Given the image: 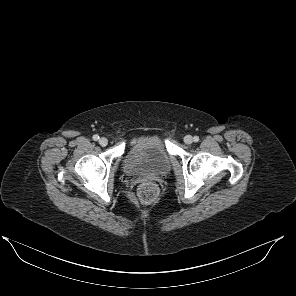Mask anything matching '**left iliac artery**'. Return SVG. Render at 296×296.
<instances>
[{
    "label": "left iliac artery",
    "mask_w": 296,
    "mask_h": 296,
    "mask_svg": "<svg viewBox=\"0 0 296 296\" xmlns=\"http://www.w3.org/2000/svg\"><path fill=\"white\" fill-rule=\"evenodd\" d=\"M193 140H194L195 142H198V141H199V137H198V136H194Z\"/></svg>",
    "instance_id": "obj_1"
}]
</instances>
